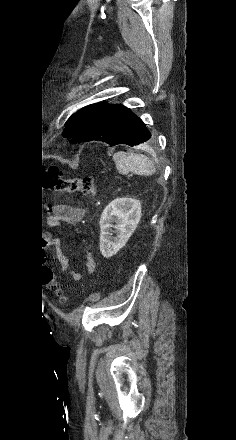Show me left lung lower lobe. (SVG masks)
<instances>
[{"label": "left lung lower lobe", "instance_id": "left-lung-lower-lobe-1", "mask_svg": "<svg viewBox=\"0 0 236 440\" xmlns=\"http://www.w3.org/2000/svg\"><path fill=\"white\" fill-rule=\"evenodd\" d=\"M103 141L111 146L150 143L153 135L143 121L123 105L106 104L80 128L70 143Z\"/></svg>", "mask_w": 236, "mask_h": 440}]
</instances>
